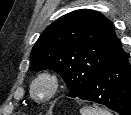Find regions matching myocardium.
Here are the masks:
<instances>
[{"mask_svg":"<svg viewBox=\"0 0 131 115\" xmlns=\"http://www.w3.org/2000/svg\"><path fill=\"white\" fill-rule=\"evenodd\" d=\"M41 81L47 82L49 86V91L45 97H38L36 94V85ZM59 87L60 80L58 75L51 71H43L37 74L32 80L30 92L35 99H38L42 103H46L56 96L57 92L59 91Z\"/></svg>","mask_w":131,"mask_h":115,"instance_id":"1","label":"myocardium"}]
</instances>
